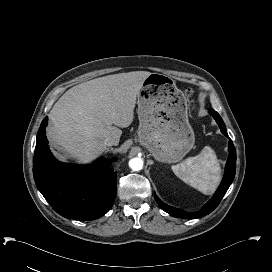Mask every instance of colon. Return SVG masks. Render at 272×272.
<instances>
[{"mask_svg":"<svg viewBox=\"0 0 272 272\" xmlns=\"http://www.w3.org/2000/svg\"><path fill=\"white\" fill-rule=\"evenodd\" d=\"M183 96L186 100H190L192 96V91L190 89L185 90Z\"/></svg>","mask_w":272,"mask_h":272,"instance_id":"1","label":"colon"}]
</instances>
